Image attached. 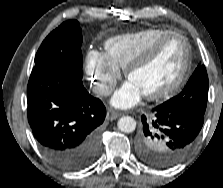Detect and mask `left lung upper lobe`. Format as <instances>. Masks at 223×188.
I'll list each match as a JSON object with an SVG mask.
<instances>
[{
  "label": "left lung upper lobe",
  "instance_id": "1",
  "mask_svg": "<svg viewBox=\"0 0 223 188\" xmlns=\"http://www.w3.org/2000/svg\"><path fill=\"white\" fill-rule=\"evenodd\" d=\"M208 98V76L204 65H199L190 77L183 91L164 102L160 106L168 112H186L204 116ZM151 151L157 155H164L163 146L158 139H148ZM140 158L153 166L161 164L151 158L139 154Z\"/></svg>",
  "mask_w": 223,
  "mask_h": 188
}]
</instances>
